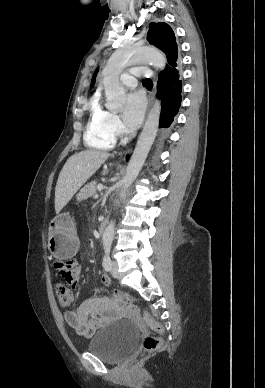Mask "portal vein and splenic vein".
<instances>
[{
  "label": "portal vein and splenic vein",
  "instance_id": "obj_1",
  "mask_svg": "<svg viewBox=\"0 0 265 388\" xmlns=\"http://www.w3.org/2000/svg\"><path fill=\"white\" fill-rule=\"evenodd\" d=\"M97 190L98 192H101V190H103V184H98Z\"/></svg>",
  "mask_w": 265,
  "mask_h": 388
}]
</instances>
